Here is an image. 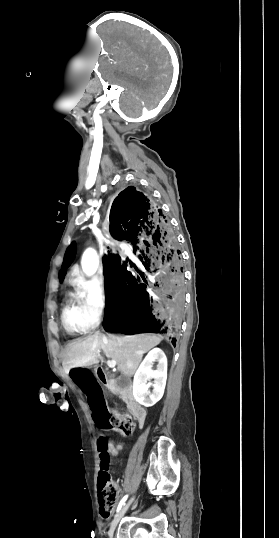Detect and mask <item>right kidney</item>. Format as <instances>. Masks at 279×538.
Instances as JSON below:
<instances>
[{
  "instance_id": "right-kidney-1",
  "label": "right kidney",
  "mask_w": 279,
  "mask_h": 538,
  "mask_svg": "<svg viewBox=\"0 0 279 538\" xmlns=\"http://www.w3.org/2000/svg\"><path fill=\"white\" fill-rule=\"evenodd\" d=\"M154 362H158L157 370H152ZM150 380H154V384H151ZM166 380L167 358L160 348H154L144 358L134 376L133 396L136 402H139L141 406H146V408L154 406L164 394ZM150 386H152L153 392H149Z\"/></svg>"
}]
</instances>
